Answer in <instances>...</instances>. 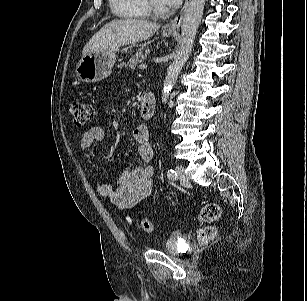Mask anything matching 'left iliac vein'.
Wrapping results in <instances>:
<instances>
[{"label":"left iliac vein","instance_id":"4c4485c4","mask_svg":"<svg viewBox=\"0 0 307 301\" xmlns=\"http://www.w3.org/2000/svg\"><path fill=\"white\" fill-rule=\"evenodd\" d=\"M176 172L178 174V179L183 186H188L190 184L189 178L185 172V168L182 165L176 166Z\"/></svg>","mask_w":307,"mask_h":301}]
</instances>
